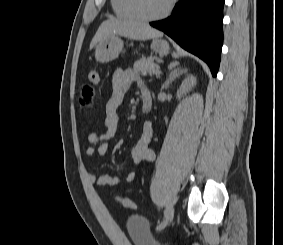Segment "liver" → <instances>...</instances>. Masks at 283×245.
Segmentation results:
<instances>
[{"instance_id": "liver-1", "label": "liver", "mask_w": 283, "mask_h": 245, "mask_svg": "<svg viewBox=\"0 0 283 245\" xmlns=\"http://www.w3.org/2000/svg\"><path fill=\"white\" fill-rule=\"evenodd\" d=\"M111 35L124 36L134 40H147L161 37L163 33L145 23L111 18L100 25L90 43V49Z\"/></svg>"}]
</instances>
